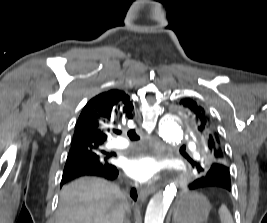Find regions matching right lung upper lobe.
Wrapping results in <instances>:
<instances>
[{"instance_id": "obj_1", "label": "right lung upper lobe", "mask_w": 267, "mask_h": 223, "mask_svg": "<svg viewBox=\"0 0 267 223\" xmlns=\"http://www.w3.org/2000/svg\"><path fill=\"white\" fill-rule=\"evenodd\" d=\"M133 104L128 94L111 89L92 98L83 108L75 126L71 149L93 145L102 148L114 127L133 119Z\"/></svg>"}]
</instances>
